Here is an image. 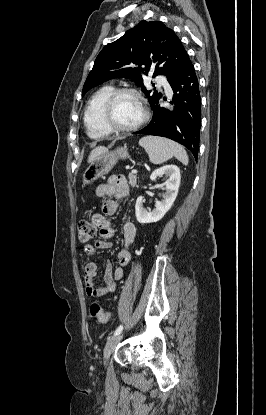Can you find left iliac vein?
Instances as JSON below:
<instances>
[{
  "mask_svg": "<svg viewBox=\"0 0 266 415\" xmlns=\"http://www.w3.org/2000/svg\"><path fill=\"white\" fill-rule=\"evenodd\" d=\"M123 335L120 333L118 335H113L112 337H110L105 345L104 348V359L105 361L108 360V358L110 357V355L113 353V351L115 350L116 345L120 342V340L122 339Z\"/></svg>",
  "mask_w": 266,
  "mask_h": 415,
  "instance_id": "left-iliac-vein-1",
  "label": "left iliac vein"
}]
</instances>
